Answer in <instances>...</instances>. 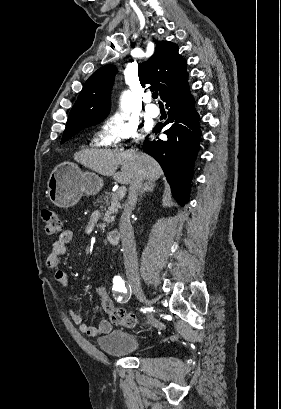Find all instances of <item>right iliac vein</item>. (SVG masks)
<instances>
[{
	"label": "right iliac vein",
	"instance_id": "1",
	"mask_svg": "<svg viewBox=\"0 0 281 409\" xmlns=\"http://www.w3.org/2000/svg\"><path fill=\"white\" fill-rule=\"evenodd\" d=\"M130 287L133 291V293L135 294L136 298L143 304H145L146 306H148V308H151V303L150 301L146 298L143 289L141 287V284L138 281H132L130 282ZM149 322H151V315L149 318Z\"/></svg>",
	"mask_w": 281,
	"mask_h": 409
}]
</instances>
